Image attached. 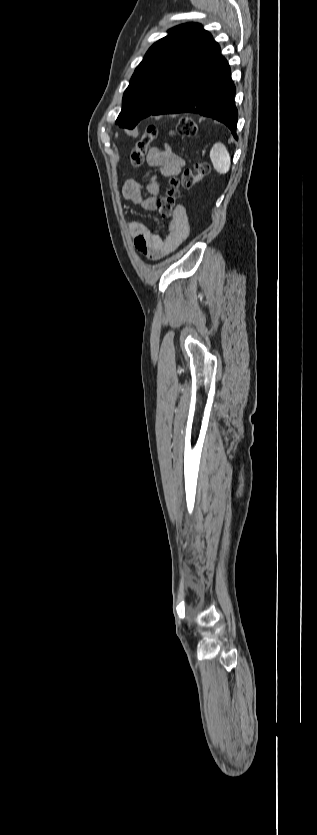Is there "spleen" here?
Listing matches in <instances>:
<instances>
[{
	"instance_id": "obj_1",
	"label": "spleen",
	"mask_w": 317,
	"mask_h": 835,
	"mask_svg": "<svg viewBox=\"0 0 317 835\" xmlns=\"http://www.w3.org/2000/svg\"><path fill=\"white\" fill-rule=\"evenodd\" d=\"M213 167L219 174H226L230 170L231 158L224 144L215 143L210 150Z\"/></svg>"
}]
</instances>
